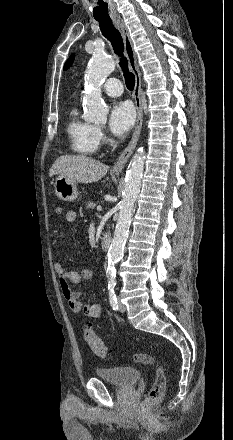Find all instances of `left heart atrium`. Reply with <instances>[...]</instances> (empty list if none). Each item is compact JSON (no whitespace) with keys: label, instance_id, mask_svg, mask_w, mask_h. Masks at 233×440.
Listing matches in <instances>:
<instances>
[{"label":"left heart atrium","instance_id":"1","mask_svg":"<svg viewBox=\"0 0 233 440\" xmlns=\"http://www.w3.org/2000/svg\"><path fill=\"white\" fill-rule=\"evenodd\" d=\"M135 113L132 105L128 102L113 104L109 114L108 127L116 136H124L133 126Z\"/></svg>","mask_w":233,"mask_h":440}]
</instances>
